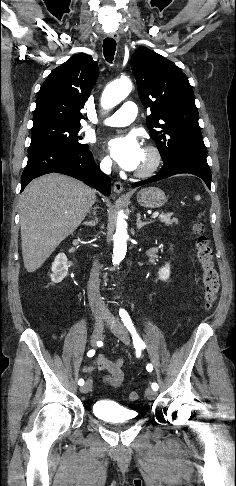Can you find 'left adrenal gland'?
<instances>
[{"instance_id":"1","label":"left adrenal gland","mask_w":236,"mask_h":486,"mask_svg":"<svg viewBox=\"0 0 236 486\" xmlns=\"http://www.w3.org/2000/svg\"><path fill=\"white\" fill-rule=\"evenodd\" d=\"M150 223L151 222H142L140 213L137 214V220H136L137 229H141L142 227H144V226H146Z\"/></svg>"}]
</instances>
